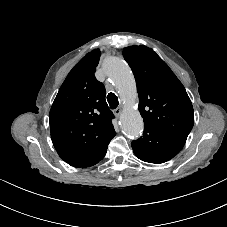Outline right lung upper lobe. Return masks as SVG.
<instances>
[{
	"mask_svg": "<svg viewBox=\"0 0 227 227\" xmlns=\"http://www.w3.org/2000/svg\"><path fill=\"white\" fill-rule=\"evenodd\" d=\"M101 52L92 50L69 72L52 104V143L69 165L85 167L100 160L116 135L105 87L95 78Z\"/></svg>",
	"mask_w": 227,
	"mask_h": 227,
	"instance_id": "cb5924a9",
	"label": "right lung upper lobe"
}]
</instances>
